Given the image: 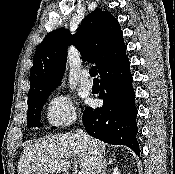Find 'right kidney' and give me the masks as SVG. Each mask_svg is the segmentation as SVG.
<instances>
[{
    "mask_svg": "<svg viewBox=\"0 0 175 174\" xmlns=\"http://www.w3.org/2000/svg\"><path fill=\"white\" fill-rule=\"evenodd\" d=\"M112 174H120L118 168H114Z\"/></svg>",
    "mask_w": 175,
    "mask_h": 174,
    "instance_id": "obj_1",
    "label": "right kidney"
}]
</instances>
